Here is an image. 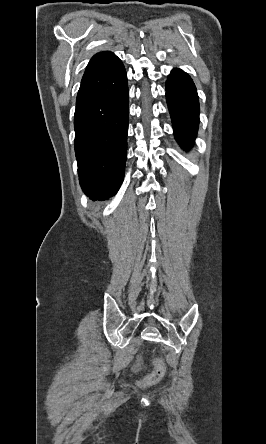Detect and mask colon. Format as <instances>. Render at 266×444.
I'll use <instances>...</instances> for the list:
<instances>
[{
    "instance_id": "obj_1",
    "label": "colon",
    "mask_w": 266,
    "mask_h": 444,
    "mask_svg": "<svg viewBox=\"0 0 266 444\" xmlns=\"http://www.w3.org/2000/svg\"><path fill=\"white\" fill-rule=\"evenodd\" d=\"M153 370L147 374L144 379L140 382L143 386H151L159 381L162 380V378L166 374V366L165 363L160 358H154L153 360Z\"/></svg>"
}]
</instances>
